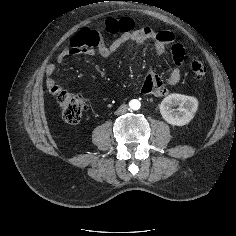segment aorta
Returning a JSON list of instances; mask_svg holds the SVG:
<instances>
[{
    "label": "aorta",
    "instance_id": "762f6f07",
    "mask_svg": "<svg viewBox=\"0 0 236 236\" xmlns=\"http://www.w3.org/2000/svg\"><path fill=\"white\" fill-rule=\"evenodd\" d=\"M129 105H130V108L133 110H138L141 107V103L136 99L131 100Z\"/></svg>",
    "mask_w": 236,
    "mask_h": 236
}]
</instances>
